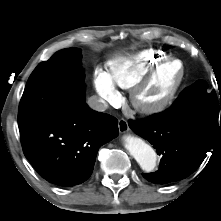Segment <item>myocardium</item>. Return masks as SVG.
Segmentation results:
<instances>
[{"label": "myocardium", "mask_w": 221, "mask_h": 221, "mask_svg": "<svg viewBox=\"0 0 221 221\" xmlns=\"http://www.w3.org/2000/svg\"><path fill=\"white\" fill-rule=\"evenodd\" d=\"M171 62H179L181 65L180 77L172 90L163 99L156 102H146L141 99L142 91L150 84L158 71ZM186 79V66L181 59L169 57L155 64L129 91V99L134 109L143 115H156L168 109L177 98Z\"/></svg>", "instance_id": "f54148a6"}]
</instances>
